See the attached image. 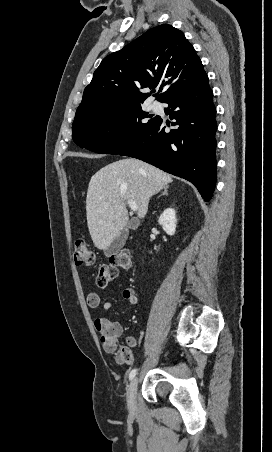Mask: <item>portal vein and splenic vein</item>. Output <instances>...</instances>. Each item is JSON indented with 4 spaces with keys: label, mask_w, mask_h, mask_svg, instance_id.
Segmentation results:
<instances>
[{
    "label": "portal vein and splenic vein",
    "mask_w": 272,
    "mask_h": 452,
    "mask_svg": "<svg viewBox=\"0 0 272 452\" xmlns=\"http://www.w3.org/2000/svg\"><path fill=\"white\" fill-rule=\"evenodd\" d=\"M127 204H128V206L130 207V209L132 211H137L138 210V206L133 200L128 199L127 200Z\"/></svg>",
    "instance_id": "1"
}]
</instances>
